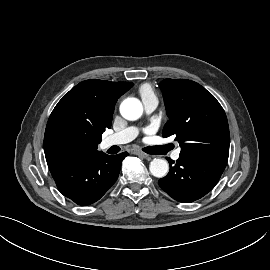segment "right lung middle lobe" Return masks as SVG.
Segmentation results:
<instances>
[{"label":"right lung middle lobe","mask_w":270,"mask_h":270,"mask_svg":"<svg viewBox=\"0 0 270 270\" xmlns=\"http://www.w3.org/2000/svg\"><path fill=\"white\" fill-rule=\"evenodd\" d=\"M84 141V136L75 131H66L60 137V145L66 150H74L80 147Z\"/></svg>","instance_id":"dd1d6c3e"}]
</instances>
